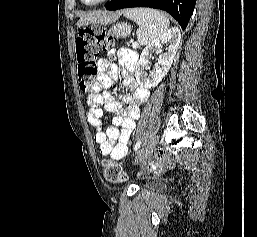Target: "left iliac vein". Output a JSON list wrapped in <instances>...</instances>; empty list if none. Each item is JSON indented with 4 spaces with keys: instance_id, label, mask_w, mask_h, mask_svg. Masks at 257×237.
<instances>
[{
    "instance_id": "4c4485c4",
    "label": "left iliac vein",
    "mask_w": 257,
    "mask_h": 237,
    "mask_svg": "<svg viewBox=\"0 0 257 237\" xmlns=\"http://www.w3.org/2000/svg\"><path fill=\"white\" fill-rule=\"evenodd\" d=\"M158 143V137L154 136L152 137L147 143L146 145L139 151L137 157H136V162H142L145 159L148 158V156L151 154V152L153 151V149L155 148V146Z\"/></svg>"
}]
</instances>
